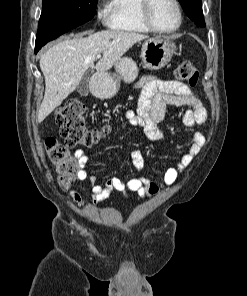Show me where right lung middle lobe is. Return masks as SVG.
<instances>
[{
  "instance_id": "dd1d6c3e",
  "label": "right lung middle lobe",
  "mask_w": 247,
  "mask_h": 296,
  "mask_svg": "<svg viewBox=\"0 0 247 296\" xmlns=\"http://www.w3.org/2000/svg\"><path fill=\"white\" fill-rule=\"evenodd\" d=\"M98 0H43L35 53L47 42L90 19Z\"/></svg>"
}]
</instances>
